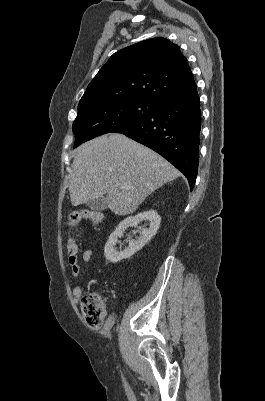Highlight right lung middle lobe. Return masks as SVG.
Returning a JSON list of instances; mask_svg holds the SVG:
<instances>
[{"label": "right lung middle lobe", "mask_w": 265, "mask_h": 401, "mask_svg": "<svg viewBox=\"0 0 265 401\" xmlns=\"http://www.w3.org/2000/svg\"><path fill=\"white\" fill-rule=\"evenodd\" d=\"M158 103L143 98H107L78 106L74 147L151 115Z\"/></svg>", "instance_id": "right-lung-middle-lobe-1"}]
</instances>
